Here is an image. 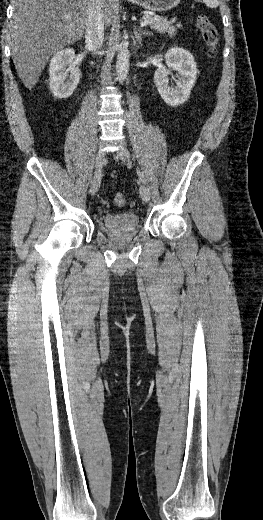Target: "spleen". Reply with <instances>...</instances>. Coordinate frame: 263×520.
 Segmentation results:
<instances>
[{
    "label": "spleen",
    "mask_w": 263,
    "mask_h": 520,
    "mask_svg": "<svg viewBox=\"0 0 263 520\" xmlns=\"http://www.w3.org/2000/svg\"><path fill=\"white\" fill-rule=\"evenodd\" d=\"M203 1L210 8H216L218 6V0H203Z\"/></svg>",
    "instance_id": "obj_1"
}]
</instances>
